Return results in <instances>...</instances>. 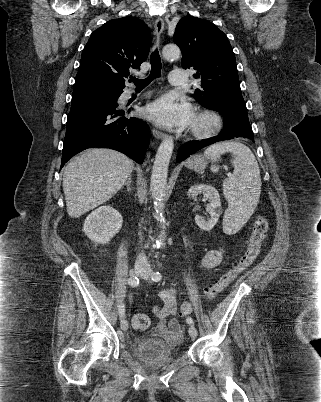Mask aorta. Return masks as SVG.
Listing matches in <instances>:
<instances>
[{
	"instance_id": "obj_1",
	"label": "aorta",
	"mask_w": 321,
	"mask_h": 402,
	"mask_svg": "<svg viewBox=\"0 0 321 402\" xmlns=\"http://www.w3.org/2000/svg\"><path fill=\"white\" fill-rule=\"evenodd\" d=\"M180 54V49L176 45H166L162 50V55L167 60L178 59ZM173 148V138L171 136L165 137L157 150L150 181V190L154 200L157 219L162 227L165 223L163 198L165 196L168 166Z\"/></svg>"
}]
</instances>
